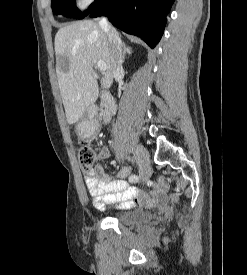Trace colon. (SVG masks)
Listing matches in <instances>:
<instances>
[{
  "instance_id": "1",
  "label": "colon",
  "mask_w": 247,
  "mask_h": 275,
  "mask_svg": "<svg viewBox=\"0 0 247 275\" xmlns=\"http://www.w3.org/2000/svg\"><path fill=\"white\" fill-rule=\"evenodd\" d=\"M96 155L89 145H83L78 152V161L83 173H87L94 164Z\"/></svg>"
}]
</instances>
